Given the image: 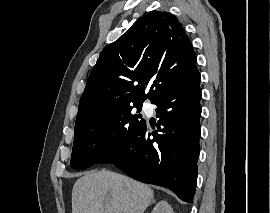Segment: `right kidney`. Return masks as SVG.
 I'll return each instance as SVG.
<instances>
[{
  "mask_svg": "<svg viewBox=\"0 0 270 213\" xmlns=\"http://www.w3.org/2000/svg\"><path fill=\"white\" fill-rule=\"evenodd\" d=\"M151 213H174L168 202L162 200L156 204Z\"/></svg>",
  "mask_w": 270,
  "mask_h": 213,
  "instance_id": "ca27d5eb",
  "label": "right kidney"
}]
</instances>
